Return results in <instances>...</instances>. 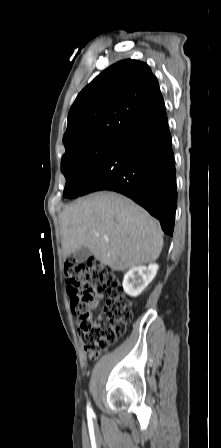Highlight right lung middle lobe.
<instances>
[{
	"label": "right lung middle lobe",
	"mask_w": 221,
	"mask_h": 448,
	"mask_svg": "<svg viewBox=\"0 0 221 448\" xmlns=\"http://www.w3.org/2000/svg\"><path fill=\"white\" fill-rule=\"evenodd\" d=\"M118 138L102 139L76 146L66 152L61 160V170L66 177L65 198L81 196L83 189L102 165Z\"/></svg>",
	"instance_id": "obj_1"
}]
</instances>
